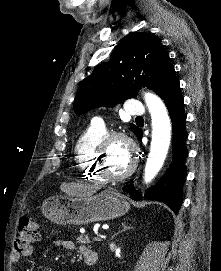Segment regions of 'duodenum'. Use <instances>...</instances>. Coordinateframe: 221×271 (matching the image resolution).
I'll use <instances>...</instances> for the list:
<instances>
[{
    "instance_id": "410a0bca",
    "label": "duodenum",
    "mask_w": 221,
    "mask_h": 271,
    "mask_svg": "<svg viewBox=\"0 0 221 271\" xmlns=\"http://www.w3.org/2000/svg\"><path fill=\"white\" fill-rule=\"evenodd\" d=\"M84 260L86 264L93 265L97 262V254H91L87 256Z\"/></svg>"
}]
</instances>
